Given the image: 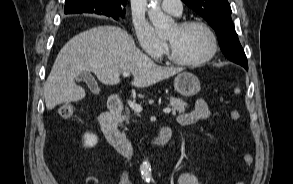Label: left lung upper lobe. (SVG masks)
Here are the masks:
<instances>
[{
    "instance_id": "5c2ea615",
    "label": "left lung upper lobe",
    "mask_w": 293,
    "mask_h": 184,
    "mask_svg": "<svg viewBox=\"0 0 293 184\" xmlns=\"http://www.w3.org/2000/svg\"><path fill=\"white\" fill-rule=\"evenodd\" d=\"M214 28L224 55L231 61L247 60L231 19L228 0H182Z\"/></svg>"
}]
</instances>
